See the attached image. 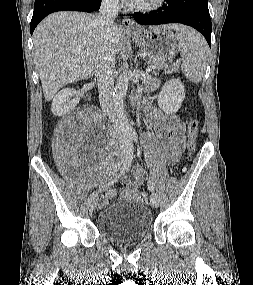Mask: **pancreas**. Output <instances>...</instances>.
Returning a JSON list of instances; mask_svg holds the SVG:
<instances>
[{
    "label": "pancreas",
    "instance_id": "cf45deb5",
    "mask_svg": "<svg viewBox=\"0 0 253 285\" xmlns=\"http://www.w3.org/2000/svg\"><path fill=\"white\" fill-rule=\"evenodd\" d=\"M150 65H153L155 67L152 71V73L155 75L158 74L161 69H164V72L167 74L178 73L180 71V68L178 65L167 66L164 63L156 62V61L150 62Z\"/></svg>",
    "mask_w": 253,
    "mask_h": 285
}]
</instances>
